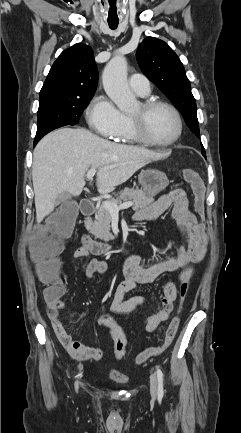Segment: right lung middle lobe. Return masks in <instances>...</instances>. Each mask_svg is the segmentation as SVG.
I'll use <instances>...</instances> for the list:
<instances>
[{
  "instance_id": "obj_1",
  "label": "right lung middle lobe",
  "mask_w": 241,
  "mask_h": 433,
  "mask_svg": "<svg viewBox=\"0 0 241 433\" xmlns=\"http://www.w3.org/2000/svg\"><path fill=\"white\" fill-rule=\"evenodd\" d=\"M91 98H47L40 100L38 127L34 143L56 128L77 124Z\"/></svg>"
}]
</instances>
